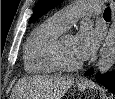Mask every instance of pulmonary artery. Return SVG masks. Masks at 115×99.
Listing matches in <instances>:
<instances>
[{
  "instance_id": "obj_1",
  "label": "pulmonary artery",
  "mask_w": 115,
  "mask_h": 99,
  "mask_svg": "<svg viewBox=\"0 0 115 99\" xmlns=\"http://www.w3.org/2000/svg\"><path fill=\"white\" fill-rule=\"evenodd\" d=\"M101 5V1L77 2L56 12L50 19L66 29L81 17L99 14L102 10Z\"/></svg>"
}]
</instances>
